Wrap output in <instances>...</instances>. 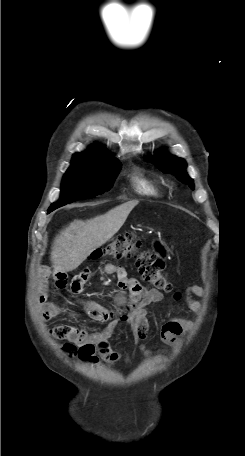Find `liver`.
Returning <instances> with one entry per match:
<instances>
[{"label": "liver", "instance_id": "6515ba94", "mask_svg": "<svg viewBox=\"0 0 245 456\" xmlns=\"http://www.w3.org/2000/svg\"><path fill=\"white\" fill-rule=\"evenodd\" d=\"M138 203L137 200L128 201L100 217L82 224H71L62 231L52 245L53 271L67 272L77 268L119 231Z\"/></svg>", "mask_w": 245, "mask_h": 456}]
</instances>
